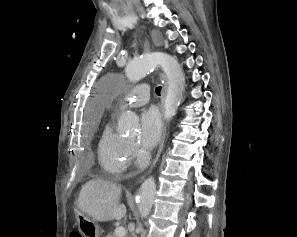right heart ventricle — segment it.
Listing matches in <instances>:
<instances>
[{
    "mask_svg": "<svg viewBox=\"0 0 297 237\" xmlns=\"http://www.w3.org/2000/svg\"><path fill=\"white\" fill-rule=\"evenodd\" d=\"M97 154L101 168L111 176L123 173L130 164L129 142L113 129L111 122L103 128Z\"/></svg>",
    "mask_w": 297,
    "mask_h": 237,
    "instance_id": "right-heart-ventricle-1",
    "label": "right heart ventricle"
}]
</instances>
